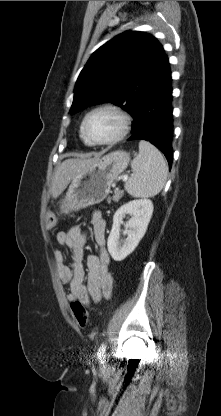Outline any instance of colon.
Returning a JSON list of instances; mask_svg holds the SVG:
<instances>
[{"instance_id":"colon-1","label":"colon","mask_w":221,"mask_h":416,"mask_svg":"<svg viewBox=\"0 0 221 416\" xmlns=\"http://www.w3.org/2000/svg\"><path fill=\"white\" fill-rule=\"evenodd\" d=\"M47 227L53 229L58 223V218L55 214H49L46 220ZM72 313L81 327H85L88 324V312L84 305L79 300H74L70 304Z\"/></svg>"}]
</instances>
